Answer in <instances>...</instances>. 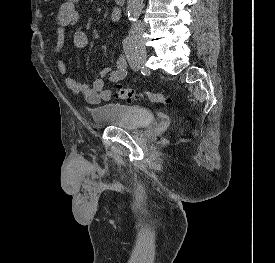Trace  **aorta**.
Returning <instances> with one entry per match:
<instances>
[{
	"label": "aorta",
	"mask_w": 275,
	"mask_h": 263,
	"mask_svg": "<svg viewBox=\"0 0 275 263\" xmlns=\"http://www.w3.org/2000/svg\"><path fill=\"white\" fill-rule=\"evenodd\" d=\"M143 1L144 0H128L127 1V13L128 19L131 22H135L143 8Z\"/></svg>",
	"instance_id": "obj_1"
}]
</instances>
